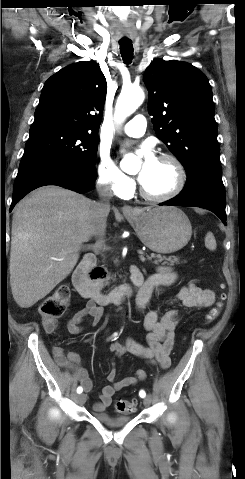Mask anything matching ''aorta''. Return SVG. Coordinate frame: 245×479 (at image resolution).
Listing matches in <instances>:
<instances>
[{
    "mask_svg": "<svg viewBox=\"0 0 245 479\" xmlns=\"http://www.w3.org/2000/svg\"><path fill=\"white\" fill-rule=\"evenodd\" d=\"M144 98V92L140 87L123 88L116 103L114 120L117 123L123 122L143 103ZM120 167L126 173H136L140 169V160L135 156H125Z\"/></svg>",
    "mask_w": 245,
    "mask_h": 479,
    "instance_id": "aorta-1",
    "label": "aorta"
}]
</instances>
